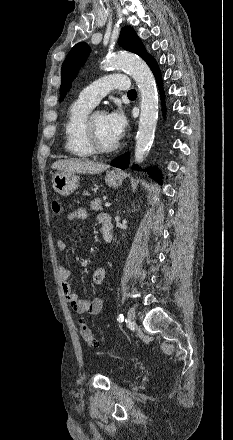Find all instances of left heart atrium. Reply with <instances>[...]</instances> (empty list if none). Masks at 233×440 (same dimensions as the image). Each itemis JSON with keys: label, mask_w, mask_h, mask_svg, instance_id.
Returning a JSON list of instances; mask_svg holds the SVG:
<instances>
[{"label": "left heart atrium", "mask_w": 233, "mask_h": 440, "mask_svg": "<svg viewBox=\"0 0 233 440\" xmlns=\"http://www.w3.org/2000/svg\"><path fill=\"white\" fill-rule=\"evenodd\" d=\"M108 126L113 133L114 137L118 140L122 137L126 126L127 119L124 113L117 109L106 114Z\"/></svg>", "instance_id": "1"}]
</instances>
